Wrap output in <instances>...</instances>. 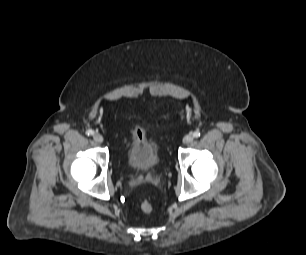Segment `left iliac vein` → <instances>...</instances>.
<instances>
[{
    "mask_svg": "<svg viewBox=\"0 0 306 255\" xmlns=\"http://www.w3.org/2000/svg\"><path fill=\"white\" fill-rule=\"evenodd\" d=\"M194 136L192 134H187L184 138H183V143L184 144H189L193 141Z\"/></svg>",
    "mask_w": 306,
    "mask_h": 255,
    "instance_id": "4c4485c4",
    "label": "left iliac vein"
}]
</instances>
